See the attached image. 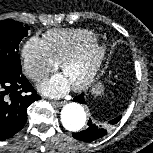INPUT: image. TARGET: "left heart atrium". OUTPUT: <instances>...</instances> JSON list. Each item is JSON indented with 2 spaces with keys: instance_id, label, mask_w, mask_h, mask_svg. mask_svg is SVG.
<instances>
[{
  "instance_id": "1",
  "label": "left heart atrium",
  "mask_w": 153,
  "mask_h": 153,
  "mask_svg": "<svg viewBox=\"0 0 153 153\" xmlns=\"http://www.w3.org/2000/svg\"><path fill=\"white\" fill-rule=\"evenodd\" d=\"M71 84L65 75L57 74L40 86L43 94L50 97H60L70 90Z\"/></svg>"
}]
</instances>
